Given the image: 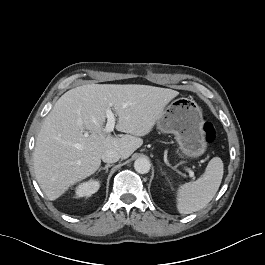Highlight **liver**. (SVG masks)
<instances>
[{"label":"liver","mask_w":265,"mask_h":265,"mask_svg":"<svg viewBox=\"0 0 265 265\" xmlns=\"http://www.w3.org/2000/svg\"><path fill=\"white\" fill-rule=\"evenodd\" d=\"M178 91L137 84H87L64 93L45 117L33 153L36 180L49 200L96 172L102 154L129 158ZM118 116L114 137L104 131L106 110Z\"/></svg>","instance_id":"obj_1"}]
</instances>
